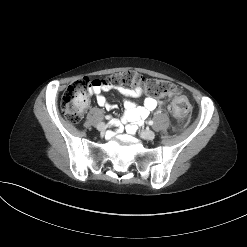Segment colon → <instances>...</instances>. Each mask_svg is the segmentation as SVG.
<instances>
[{
  "label": "colon",
  "mask_w": 247,
  "mask_h": 247,
  "mask_svg": "<svg viewBox=\"0 0 247 247\" xmlns=\"http://www.w3.org/2000/svg\"><path fill=\"white\" fill-rule=\"evenodd\" d=\"M96 83H103L113 87H132L142 84L148 94L156 97L166 95L177 96L180 93L179 88L170 81L142 78L138 73L131 70L112 74L104 80L82 78L71 83L62 97L61 109L67 120L72 123H77L81 120L88 105V93ZM171 108L177 119V126L179 127L183 124L189 111L187 98H174Z\"/></svg>",
  "instance_id": "1"
}]
</instances>
